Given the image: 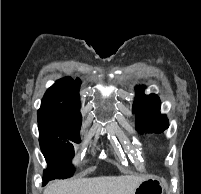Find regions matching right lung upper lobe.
<instances>
[{"label":"right lung upper lobe","instance_id":"cb5924a9","mask_svg":"<svg viewBox=\"0 0 201 194\" xmlns=\"http://www.w3.org/2000/svg\"><path fill=\"white\" fill-rule=\"evenodd\" d=\"M81 81H73L70 77L62 78L51 86L45 93L41 107H59L70 117L81 119L79 108V88Z\"/></svg>","mask_w":201,"mask_h":194}]
</instances>
